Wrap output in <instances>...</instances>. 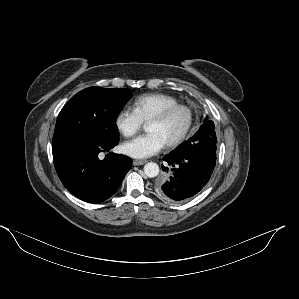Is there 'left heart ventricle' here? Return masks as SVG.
<instances>
[{
    "mask_svg": "<svg viewBox=\"0 0 299 299\" xmlns=\"http://www.w3.org/2000/svg\"><path fill=\"white\" fill-rule=\"evenodd\" d=\"M187 122V113L183 110L172 114L167 120L160 123H148L147 131L157 133L165 142L174 139Z\"/></svg>",
    "mask_w": 299,
    "mask_h": 299,
    "instance_id": "left-heart-ventricle-1",
    "label": "left heart ventricle"
}]
</instances>
